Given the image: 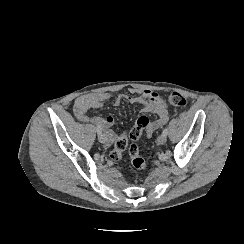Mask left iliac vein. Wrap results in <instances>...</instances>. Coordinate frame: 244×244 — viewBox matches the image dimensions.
<instances>
[{
    "label": "left iliac vein",
    "instance_id": "4c4485c4",
    "mask_svg": "<svg viewBox=\"0 0 244 244\" xmlns=\"http://www.w3.org/2000/svg\"><path fill=\"white\" fill-rule=\"evenodd\" d=\"M167 140V137L166 135L164 134H161L158 138H157V143L158 144H164Z\"/></svg>",
    "mask_w": 244,
    "mask_h": 244
}]
</instances>
